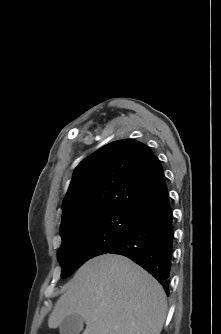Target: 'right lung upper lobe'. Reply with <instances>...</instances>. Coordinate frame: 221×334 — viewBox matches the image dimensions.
<instances>
[{"mask_svg":"<svg viewBox=\"0 0 221 334\" xmlns=\"http://www.w3.org/2000/svg\"><path fill=\"white\" fill-rule=\"evenodd\" d=\"M164 188L162 166L146 145L132 139L109 143L74 170L62 204L60 234L100 214H136Z\"/></svg>","mask_w":221,"mask_h":334,"instance_id":"right-lung-upper-lobe-1","label":"right lung upper lobe"}]
</instances>
